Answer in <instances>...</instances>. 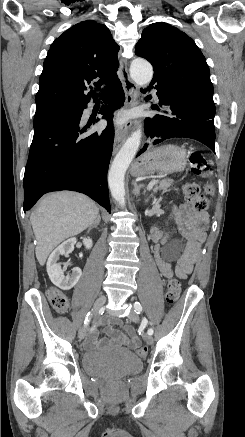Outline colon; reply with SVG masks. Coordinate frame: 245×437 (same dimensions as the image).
I'll use <instances>...</instances> for the list:
<instances>
[{"mask_svg":"<svg viewBox=\"0 0 245 437\" xmlns=\"http://www.w3.org/2000/svg\"><path fill=\"white\" fill-rule=\"evenodd\" d=\"M191 169L194 174L208 178L211 176V169L199 152H193L189 157ZM183 193L186 199L191 202L199 212H207L211 208L210 196L214 193V187L211 183H208L205 188V193H201L199 187L196 184H186L183 187ZM180 284L177 279H170L166 285V300L172 304L177 301L180 295ZM49 302L53 309L58 313H65L69 307L68 297L56 288H50L47 292ZM137 354L141 357L146 356L147 348L139 346L136 350Z\"/></svg>","mask_w":245,"mask_h":437,"instance_id":"1","label":"colon"}]
</instances>
